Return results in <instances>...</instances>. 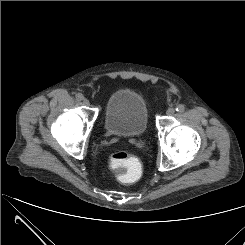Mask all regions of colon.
Masks as SVG:
<instances>
[{
	"mask_svg": "<svg viewBox=\"0 0 245 245\" xmlns=\"http://www.w3.org/2000/svg\"><path fill=\"white\" fill-rule=\"evenodd\" d=\"M109 165L121 170L119 175L120 182L132 184L138 180L140 163L136 157L125 151L113 153L109 158Z\"/></svg>",
	"mask_w": 245,
	"mask_h": 245,
	"instance_id": "5ec220e1",
	"label": "colon"
}]
</instances>
